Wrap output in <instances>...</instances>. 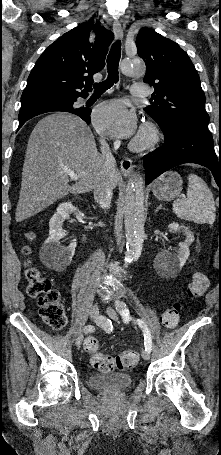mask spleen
<instances>
[{"label":"spleen","mask_w":221,"mask_h":455,"mask_svg":"<svg viewBox=\"0 0 221 455\" xmlns=\"http://www.w3.org/2000/svg\"><path fill=\"white\" fill-rule=\"evenodd\" d=\"M187 198L173 202V211L182 220L197 224L215 221V201L211 190L202 178L196 174L188 175Z\"/></svg>","instance_id":"spleen-1"}]
</instances>
